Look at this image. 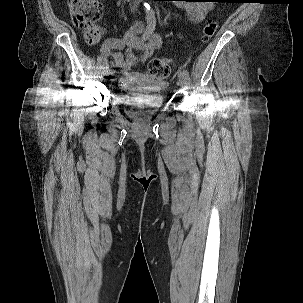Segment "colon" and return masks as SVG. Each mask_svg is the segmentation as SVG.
<instances>
[{"instance_id":"5ec220e1","label":"colon","mask_w":303,"mask_h":303,"mask_svg":"<svg viewBox=\"0 0 303 303\" xmlns=\"http://www.w3.org/2000/svg\"><path fill=\"white\" fill-rule=\"evenodd\" d=\"M68 8L76 27L82 29L89 44H96L102 37L98 21L102 14L101 0H67ZM217 30V23L209 21L203 29L205 39L211 38ZM168 58H153L148 65L149 73L160 80L170 77Z\"/></svg>"}]
</instances>
